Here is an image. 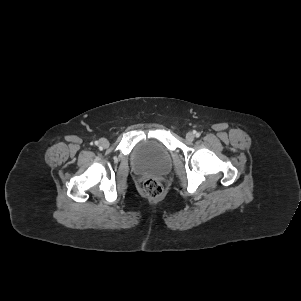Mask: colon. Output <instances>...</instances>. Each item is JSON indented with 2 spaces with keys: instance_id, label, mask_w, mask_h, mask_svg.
Returning a JSON list of instances; mask_svg holds the SVG:
<instances>
[{
  "instance_id": "1",
  "label": "colon",
  "mask_w": 301,
  "mask_h": 301,
  "mask_svg": "<svg viewBox=\"0 0 301 301\" xmlns=\"http://www.w3.org/2000/svg\"><path fill=\"white\" fill-rule=\"evenodd\" d=\"M143 191L149 198L156 199L162 196L164 187L159 180L148 178L143 183Z\"/></svg>"
}]
</instances>
